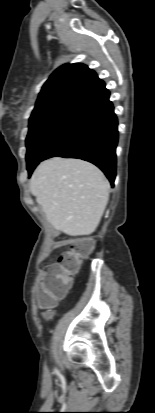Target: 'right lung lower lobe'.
<instances>
[{
	"label": "right lung lower lobe",
	"instance_id": "1",
	"mask_svg": "<svg viewBox=\"0 0 155 413\" xmlns=\"http://www.w3.org/2000/svg\"><path fill=\"white\" fill-rule=\"evenodd\" d=\"M117 124L109 91L103 88L78 105L64 132L42 160L64 157L89 161L98 166L114 186ZM37 165L28 169L29 175Z\"/></svg>",
	"mask_w": 155,
	"mask_h": 413
}]
</instances>
